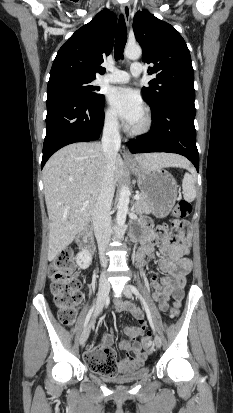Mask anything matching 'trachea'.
<instances>
[{"label": "trachea", "mask_w": 233, "mask_h": 413, "mask_svg": "<svg viewBox=\"0 0 233 413\" xmlns=\"http://www.w3.org/2000/svg\"><path fill=\"white\" fill-rule=\"evenodd\" d=\"M127 42V30L124 17L121 15L119 18L115 47H114V57L116 60L123 58V50Z\"/></svg>", "instance_id": "1"}]
</instances>
